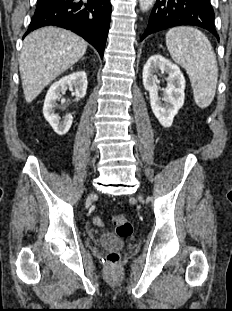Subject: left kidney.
I'll return each mask as SVG.
<instances>
[{"label": "left kidney", "mask_w": 232, "mask_h": 311, "mask_svg": "<svg viewBox=\"0 0 232 311\" xmlns=\"http://www.w3.org/2000/svg\"><path fill=\"white\" fill-rule=\"evenodd\" d=\"M159 72L168 74V84L163 89L164 103L158 96L156 74ZM142 78L144 88L149 91L150 104L155 117L163 127L169 128L184 104L185 78L180 68L162 55H153L144 65Z\"/></svg>", "instance_id": "obj_1"}]
</instances>
